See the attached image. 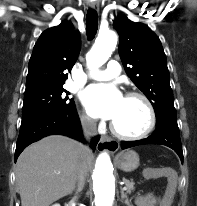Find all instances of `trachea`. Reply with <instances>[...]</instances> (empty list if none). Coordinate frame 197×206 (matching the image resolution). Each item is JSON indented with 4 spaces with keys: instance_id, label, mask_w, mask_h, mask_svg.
I'll return each instance as SVG.
<instances>
[{
    "instance_id": "1",
    "label": "trachea",
    "mask_w": 197,
    "mask_h": 206,
    "mask_svg": "<svg viewBox=\"0 0 197 206\" xmlns=\"http://www.w3.org/2000/svg\"><path fill=\"white\" fill-rule=\"evenodd\" d=\"M98 29V15L95 10L89 9L86 17L87 36L91 40L96 35Z\"/></svg>"
}]
</instances>
